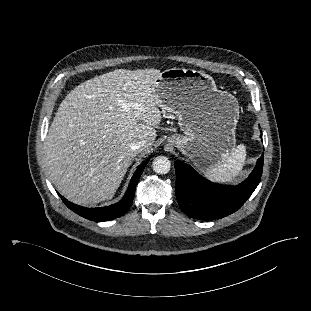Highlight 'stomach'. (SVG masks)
<instances>
[{"label":"stomach","instance_id":"stomach-1","mask_svg":"<svg viewBox=\"0 0 311 311\" xmlns=\"http://www.w3.org/2000/svg\"><path fill=\"white\" fill-rule=\"evenodd\" d=\"M158 106L178 116L183 135L174 145L201 171L221 164L235 149L239 119L237 99L218 90L214 79L194 69L170 68L155 80Z\"/></svg>","mask_w":311,"mask_h":311}]
</instances>
